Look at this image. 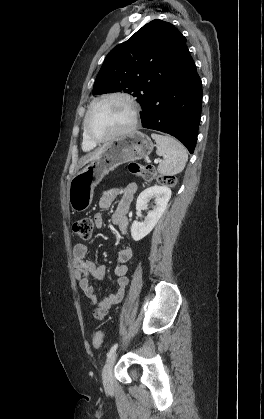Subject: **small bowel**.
I'll list each match as a JSON object with an SVG mask.
<instances>
[{
    "label": "small bowel",
    "instance_id": "1",
    "mask_svg": "<svg viewBox=\"0 0 264 419\" xmlns=\"http://www.w3.org/2000/svg\"><path fill=\"white\" fill-rule=\"evenodd\" d=\"M137 191V185L130 183L125 187H112L105 190L99 200V206L102 210L110 208L113 201L119 198L117 209L113 213L111 220L116 225L123 236L127 235L128 217L130 205L134 194ZM94 224L97 228L104 226V218L101 213L94 215ZM134 262V252L130 245L120 250L118 263L114 268V274L117 276L118 290L104 299H98L95 287L90 279L101 280L106 273V266L96 265L88 257V247L85 244H77L73 249V263L75 267V279L84 295L89 299L91 305L95 307L93 315L98 320H103L109 313L113 305L119 303L123 296L125 287L128 284V271Z\"/></svg>",
    "mask_w": 264,
    "mask_h": 419
}]
</instances>
